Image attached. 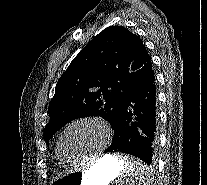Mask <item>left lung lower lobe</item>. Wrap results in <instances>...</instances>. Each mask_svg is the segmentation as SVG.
Masks as SVG:
<instances>
[{"label":"left lung lower lobe","mask_w":207,"mask_h":185,"mask_svg":"<svg viewBox=\"0 0 207 185\" xmlns=\"http://www.w3.org/2000/svg\"><path fill=\"white\" fill-rule=\"evenodd\" d=\"M156 103L155 74L151 69L125 98L113 127V141L104 153H127L151 164L157 147Z\"/></svg>","instance_id":"1"}]
</instances>
